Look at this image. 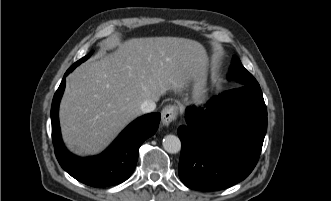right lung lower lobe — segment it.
<instances>
[{"mask_svg": "<svg viewBox=\"0 0 331 201\" xmlns=\"http://www.w3.org/2000/svg\"><path fill=\"white\" fill-rule=\"evenodd\" d=\"M70 72L68 69L64 76ZM64 88L65 78L54 95L51 107L52 139L61 167L76 180L93 187L124 182L136 167L139 147L156 132L161 115L150 113L139 117L128 125L102 154L79 158L65 148L61 139L58 110Z\"/></svg>", "mask_w": 331, "mask_h": 201, "instance_id": "1", "label": "right lung lower lobe"}]
</instances>
